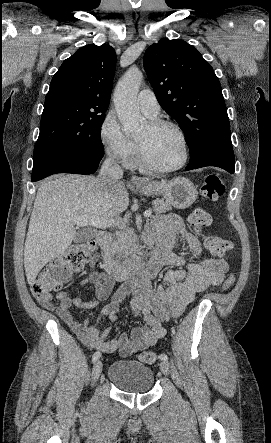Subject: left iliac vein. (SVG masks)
<instances>
[{
	"mask_svg": "<svg viewBox=\"0 0 271 443\" xmlns=\"http://www.w3.org/2000/svg\"><path fill=\"white\" fill-rule=\"evenodd\" d=\"M160 370L164 375L169 374V363L167 361L160 362Z\"/></svg>",
	"mask_w": 271,
	"mask_h": 443,
	"instance_id": "1",
	"label": "left iliac vein"
}]
</instances>
